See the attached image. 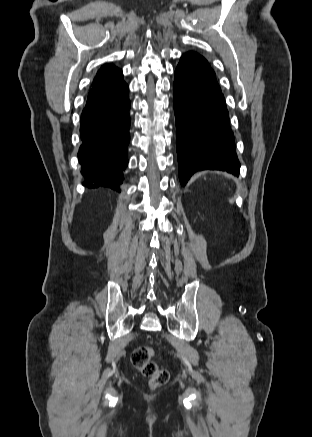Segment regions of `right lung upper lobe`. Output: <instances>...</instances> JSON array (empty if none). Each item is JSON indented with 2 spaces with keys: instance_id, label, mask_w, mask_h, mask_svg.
<instances>
[{
  "instance_id": "1",
  "label": "right lung upper lobe",
  "mask_w": 312,
  "mask_h": 437,
  "mask_svg": "<svg viewBox=\"0 0 312 437\" xmlns=\"http://www.w3.org/2000/svg\"><path fill=\"white\" fill-rule=\"evenodd\" d=\"M121 74L122 71L112 64L103 65L94 78L91 91L109 84Z\"/></svg>"
}]
</instances>
